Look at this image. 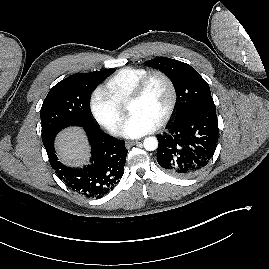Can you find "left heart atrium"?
<instances>
[{
    "instance_id": "left-heart-atrium-1",
    "label": "left heart atrium",
    "mask_w": 269,
    "mask_h": 269,
    "mask_svg": "<svg viewBox=\"0 0 269 269\" xmlns=\"http://www.w3.org/2000/svg\"><path fill=\"white\" fill-rule=\"evenodd\" d=\"M157 124L146 116L131 114L123 126V136L127 138H139L155 130Z\"/></svg>"
}]
</instances>
